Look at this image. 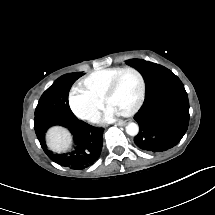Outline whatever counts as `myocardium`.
Wrapping results in <instances>:
<instances>
[{"label": "myocardium", "instance_id": "myocardium-1", "mask_svg": "<svg viewBox=\"0 0 215 215\" xmlns=\"http://www.w3.org/2000/svg\"><path fill=\"white\" fill-rule=\"evenodd\" d=\"M122 74H130L136 80L135 93H134V97H133L131 106H129L125 110L114 108L112 106V104H111V98L113 96L114 91L116 90V88L118 86V83L122 79V76H121ZM114 75H115L114 82L109 87V90L106 91V94H107V97H106V106H107L108 110L110 112H112V113L129 115L133 111H135L136 109L139 108V105H140V103L142 101L143 92H144L143 78H142L141 74L136 69L131 68V67L120 68V69H118L116 71V73Z\"/></svg>", "mask_w": 215, "mask_h": 215}]
</instances>
